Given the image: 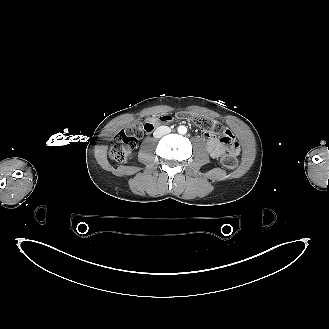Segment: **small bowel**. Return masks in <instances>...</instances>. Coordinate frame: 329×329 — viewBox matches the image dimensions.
<instances>
[{"mask_svg": "<svg viewBox=\"0 0 329 329\" xmlns=\"http://www.w3.org/2000/svg\"><path fill=\"white\" fill-rule=\"evenodd\" d=\"M156 120L159 123L162 122L173 123L175 122L176 117L175 115L170 113H162L157 115ZM148 121H153V118L148 119ZM228 132L231 133L229 130ZM206 138H207V150L210 156L213 158H222L223 156L226 155V151L233 152L235 155L238 153V148H236L235 150H231L229 148L226 149V147L215 138L208 135H206Z\"/></svg>", "mask_w": 329, "mask_h": 329, "instance_id": "c3829d8e", "label": "small bowel"}]
</instances>
